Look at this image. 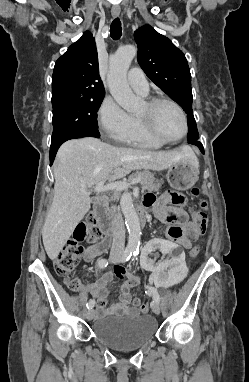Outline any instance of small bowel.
<instances>
[{
    "mask_svg": "<svg viewBox=\"0 0 249 382\" xmlns=\"http://www.w3.org/2000/svg\"><path fill=\"white\" fill-rule=\"evenodd\" d=\"M186 203L184 195L168 191L157 198L153 193H148L144 197V204L151 207L154 215L161 221L169 223L167 231L168 238L178 241L182 249H188L200 235V231L194 220L189 219L188 213L183 209ZM111 241L109 238L103 239L100 243L89 246L83 259L91 262L97 256L105 253ZM166 260V259H165ZM116 277L120 281L119 300L111 307L106 308L108 289L107 285ZM138 276H127L126 272L120 268L108 271L100 276L95 283L88 286V291L96 299V312L100 317L128 315L132 311L129 308L131 302V290L137 287Z\"/></svg>",
    "mask_w": 249,
    "mask_h": 382,
    "instance_id": "1",
    "label": "small bowel"
}]
</instances>
